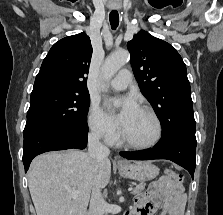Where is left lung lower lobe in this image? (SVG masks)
<instances>
[{
  "mask_svg": "<svg viewBox=\"0 0 223 215\" xmlns=\"http://www.w3.org/2000/svg\"><path fill=\"white\" fill-rule=\"evenodd\" d=\"M195 152V133L179 132L162 136L153 148L142 151L120 152V155L131 160H171L188 170L193 179L196 167Z\"/></svg>",
  "mask_w": 223,
  "mask_h": 215,
  "instance_id": "left-lung-lower-lobe-1",
  "label": "left lung lower lobe"
}]
</instances>
